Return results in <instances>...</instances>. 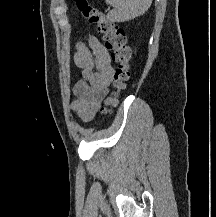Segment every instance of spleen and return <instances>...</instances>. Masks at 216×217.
Returning a JSON list of instances; mask_svg holds the SVG:
<instances>
[{"label":"spleen","mask_w":216,"mask_h":217,"mask_svg":"<svg viewBox=\"0 0 216 217\" xmlns=\"http://www.w3.org/2000/svg\"><path fill=\"white\" fill-rule=\"evenodd\" d=\"M113 9L107 14L111 22H125L144 14L152 0H105Z\"/></svg>","instance_id":"obj_1"}]
</instances>
